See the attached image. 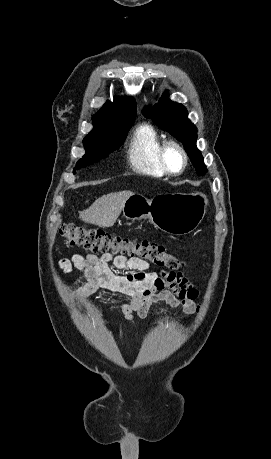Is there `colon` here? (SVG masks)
<instances>
[{
  "instance_id": "5ec220e1",
  "label": "colon",
  "mask_w": 271,
  "mask_h": 459,
  "mask_svg": "<svg viewBox=\"0 0 271 459\" xmlns=\"http://www.w3.org/2000/svg\"><path fill=\"white\" fill-rule=\"evenodd\" d=\"M60 235L70 246H78L92 252L128 255L171 270L182 266L173 254L161 245L150 241H135L114 236L102 229L86 228L74 224H65L60 228Z\"/></svg>"
}]
</instances>
